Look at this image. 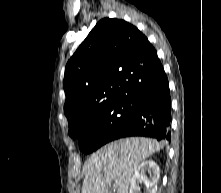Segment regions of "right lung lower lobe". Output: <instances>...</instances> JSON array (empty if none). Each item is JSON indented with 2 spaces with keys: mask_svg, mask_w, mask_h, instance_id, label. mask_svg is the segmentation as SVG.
I'll use <instances>...</instances> for the list:
<instances>
[{
  "mask_svg": "<svg viewBox=\"0 0 221 193\" xmlns=\"http://www.w3.org/2000/svg\"><path fill=\"white\" fill-rule=\"evenodd\" d=\"M135 101L136 110L130 121L114 135L112 140L129 136H145L170 141L171 98L162 65L140 90Z\"/></svg>",
  "mask_w": 221,
  "mask_h": 193,
  "instance_id": "obj_1",
  "label": "right lung lower lobe"
}]
</instances>
